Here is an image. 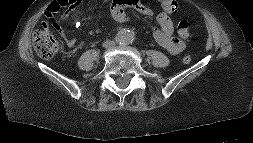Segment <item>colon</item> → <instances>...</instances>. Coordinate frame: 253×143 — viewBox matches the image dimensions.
<instances>
[{"instance_id": "5ec220e1", "label": "colon", "mask_w": 253, "mask_h": 143, "mask_svg": "<svg viewBox=\"0 0 253 143\" xmlns=\"http://www.w3.org/2000/svg\"><path fill=\"white\" fill-rule=\"evenodd\" d=\"M82 2L83 0H54L47 8V11L50 14L55 15L62 8H75ZM177 32L179 36L186 39L189 38L190 34L188 21H180L177 26ZM32 41L35 51L42 58H52L59 50V43L50 31L49 25L47 23H43L42 28L35 31ZM191 61L192 57L190 55H185L182 58V62L184 64H189Z\"/></svg>"}]
</instances>
